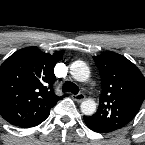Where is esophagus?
I'll return each instance as SVG.
<instances>
[{
	"label": "esophagus",
	"instance_id": "1",
	"mask_svg": "<svg viewBox=\"0 0 145 145\" xmlns=\"http://www.w3.org/2000/svg\"><path fill=\"white\" fill-rule=\"evenodd\" d=\"M73 99L77 102H82L84 99H85V95L82 94V93H79V94H75L72 96Z\"/></svg>",
	"mask_w": 145,
	"mask_h": 145
}]
</instances>
